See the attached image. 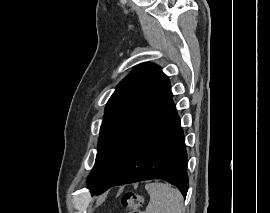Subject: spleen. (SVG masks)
Here are the masks:
<instances>
[{"label":"spleen","mask_w":270,"mask_h":213,"mask_svg":"<svg viewBox=\"0 0 270 213\" xmlns=\"http://www.w3.org/2000/svg\"><path fill=\"white\" fill-rule=\"evenodd\" d=\"M145 189L150 195L146 210L140 213H182L183 196L169 184L148 183Z\"/></svg>","instance_id":"obj_1"}]
</instances>
